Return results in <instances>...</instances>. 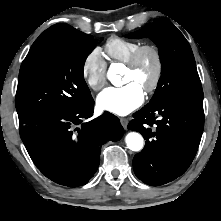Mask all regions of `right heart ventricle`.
Wrapping results in <instances>:
<instances>
[{
	"label": "right heart ventricle",
	"mask_w": 221,
	"mask_h": 221,
	"mask_svg": "<svg viewBox=\"0 0 221 221\" xmlns=\"http://www.w3.org/2000/svg\"><path fill=\"white\" fill-rule=\"evenodd\" d=\"M140 46L141 42L139 41L112 36L107 39L104 49L112 61L126 63Z\"/></svg>",
	"instance_id": "e07e8e85"
}]
</instances>
